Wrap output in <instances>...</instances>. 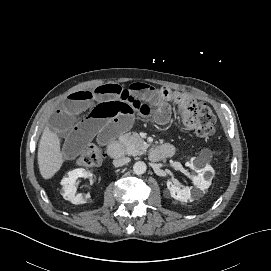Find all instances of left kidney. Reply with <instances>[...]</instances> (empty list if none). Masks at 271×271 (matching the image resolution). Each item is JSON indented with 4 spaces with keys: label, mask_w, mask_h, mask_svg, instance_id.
<instances>
[{
    "label": "left kidney",
    "mask_w": 271,
    "mask_h": 271,
    "mask_svg": "<svg viewBox=\"0 0 271 271\" xmlns=\"http://www.w3.org/2000/svg\"><path fill=\"white\" fill-rule=\"evenodd\" d=\"M189 165L192 166V164ZM195 171L197 172V174L192 177V181L195 187L200 190H205L209 188L213 178V169L209 165H206L204 168L196 169ZM167 188L170 191L171 197L176 200H179L181 202H188L192 200V187L180 188L179 186H176L172 182L168 181Z\"/></svg>",
    "instance_id": "obj_1"
}]
</instances>
